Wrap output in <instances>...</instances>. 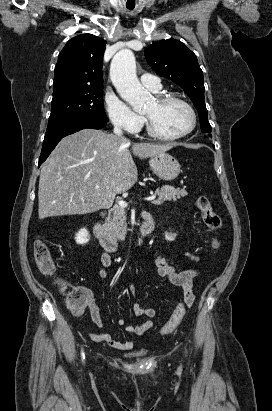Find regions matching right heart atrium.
<instances>
[{"label":"right heart atrium","mask_w":272,"mask_h":411,"mask_svg":"<svg viewBox=\"0 0 272 411\" xmlns=\"http://www.w3.org/2000/svg\"><path fill=\"white\" fill-rule=\"evenodd\" d=\"M104 102L108 118L115 127L130 133L140 129L143 124L142 117L115 94L107 92Z\"/></svg>","instance_id":"obj_1"}]
</instances>
